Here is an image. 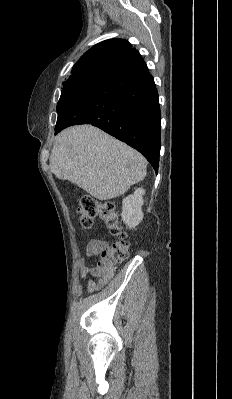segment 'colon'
<instances>
[{"mask_svg":"<svg viewBox=\"0 0 232 399\" xmlns=\"http://www.w3.org/2000/svg\"><path fill=\"white\" fill-rule=\"evenodd\" d=\"M81 226L92 227L95 216H102L106 220V229L113 234L117 233V211L114 200H109V203H103V199L94 200L89 197V194H84L81 198ZM126 233H131V228H126ZM101 257H108L105 263L99 262L96 269V289L102 290V283H111L113 277V263L114 270H119V261L129 260V245H125V228H120V242L110 244L108 252H101V248H96V259ZM105 273V276H104Z\"/></svg>","mask_w":232,"mask_h":399,"instance_id":"obj_1","label":"colon"}]
</instances>
